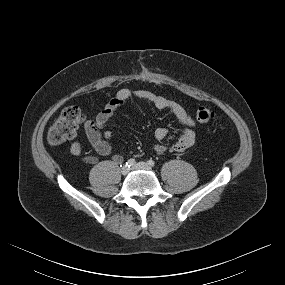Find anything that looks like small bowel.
<instances>
[{
	"label": "small bowel",
	"instance_id": "1",
	"mask_svg": "<svg viewBox=\"0 0 285 285\" xmlns=\"http://www.w3.org/2000/svg\"><path fill=\"white\" fill-rule=\"evenodd\" d=\"M132 98L148 101L157 109L168 111L175 116L181 125L182 130L180 137L171 147L172 151L185 152L194 145L196 137L194 121L182 105L148 90L121 89L109 100L103 110H101L94 119H88L83 126V133L99 155L108 156L112 152L109 140L112 139L113 132L110 129H105L101 132V129H103L113 118L115 112ZM167 135L168 129L166 128H158L154 132V138L157 141L165 139ZM82 151L83 145L81 141L74 139L70 144L71 154L74 156H81ZM155 151L158 153H164L167 151V147L165 145L158 144L155 146ZM81 158L83 162L88 164H95L98 161V158L93 155H82ZM112 160L115 163H120L123 161V157L116 153L112 155Z\"/></svg>",
	"mask_w": 285,
	"mask_h": 285
}]
</instances>
